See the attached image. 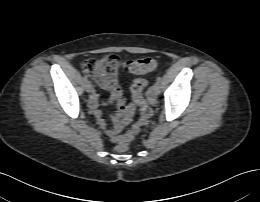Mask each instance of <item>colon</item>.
I'll return each mask as SVG.
<instances>
[{
  "label": "colon",
  "instance_id": "5ec220e1",
  "mask_svg": "<svg viewBox=\"0 0 260 202\" xmlns=\"http://www.w3.org/2000/svg\"><path fill=\"white\" fill-rule=\"evenodd\" d=\"M156 62L152 58H142L120 63L115 55H107L101 59H88L83 63V72L88 77L94 79L100 85L115 80L120 68L125 69L133 75H143L152 71ZM148 81L144 79L136 80L132 91L134 104L140 108V118L132 127L117 140L116 150L124 153L128 150L130 143L145 126L151 115L152 109L143 96V91L147 87Z\"/></svg>",
  "mask_w": 260,
  "mask_h": 202
}]
</instances>
